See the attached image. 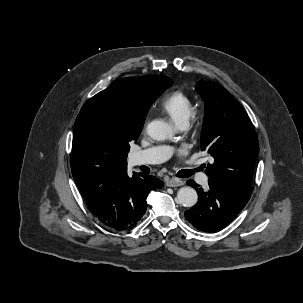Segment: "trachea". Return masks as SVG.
Masks as SVG:
<instances>
[{
	"instance_id": "1",
	"label": "trachea",
	"mask_w": 303,
	"mask_h": 303,
	"mask_svg": "<svg viewBox=\"0 0 303 303\" xmlns=\"http://www.w3.org/2000/svg\"><path fill=\"white\" fill-rule=\"evenodd\" d=\"M199 169H194V170H180L178 173H177V176L180 177V178H188L190 177L195 171H198Z\"/></svg>"
}]
</instances>
